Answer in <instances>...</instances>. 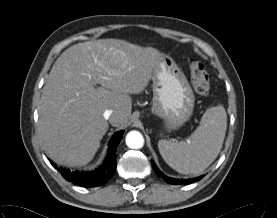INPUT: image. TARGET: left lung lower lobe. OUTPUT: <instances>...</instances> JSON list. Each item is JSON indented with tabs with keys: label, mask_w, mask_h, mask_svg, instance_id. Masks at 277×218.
<instances>
[{
	"label": "left lung lower lobe",
	"mask_w": 277,
	"mask_h": 218,
	"mask_svg": "<svg viewBox=\"0 0 277 218\" xmlns=\"http://www.w3.org/2000/svg\"><path fill=\"white\" fill-rule=\"evenodd\" d=\"M152 166H153V169H154L155 173L159 177H162L165 181H167L170 184H174V185L189 184V183H192L194 181H199L203 177V175H202V176H199L197 178H192V179H187V180H185V179L184 180H180V179L170 178V177L165 176L163 173H161L159 171V169L157 168V166L154 164V162H152Z\"/></svg>",
	"instance_id": "1"
}]
</instances>
